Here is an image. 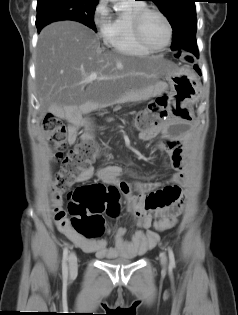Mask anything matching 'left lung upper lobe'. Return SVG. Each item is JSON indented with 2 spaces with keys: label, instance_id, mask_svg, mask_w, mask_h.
Here are the masks:
<instances>
[{
  "label": "left lung upper lobe",
  "instance_id": "obj_1",
  "mask_svg": "<svg viewBox=\"0 0 238 315\" xmlns=\"http://www.w3.org/2000/svg\"><path fill=\"white\" fill-rule=\"evenodd\" d=\"M165 14L173 29L174 40L196 41V7L194 0H150Z\"/></svg>",
  "mask_w": 238,
  "mask_h": 315
}]
</instances>
